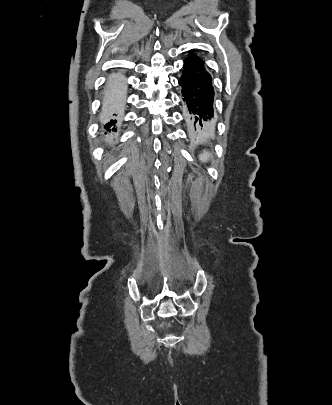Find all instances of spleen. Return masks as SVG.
I'll use <instances>...</instances> for the list:
<instances>
[{
  "label": "spleen",
  "mask_w": 332,
  "mask_h": 405,
  "mask_svg": "<svg viewBox=\"0 0 332 405\" xmlns=\"http://www.w3.org/2000/svg\"><path fill=\"white\" fill-rule=\"evenodd\" d=\"M209 158H210V154L205 151L202 154H200V156H199V160L201 162H207L209 160Z\"/></svg>",
  "instance_id": "spleen-1"
}]
</instances>
